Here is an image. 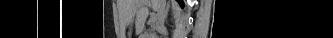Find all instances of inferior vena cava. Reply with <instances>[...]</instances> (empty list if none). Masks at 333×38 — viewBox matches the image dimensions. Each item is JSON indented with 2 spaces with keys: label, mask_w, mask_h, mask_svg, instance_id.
I'll list each match as a JSON object with an SVG mask.
<instances>
[{
  "label": "inferior vena cava",
  "mask_w": 333,
  "mask_h": 38,
  "mask_svg": "<svg viewBox=\"0 0 333 38\" xmlns=\"http://www.w3.org/2000/svg\"><path fill=\"white\" fill-rule=\"evenodd\" d=\"M165 3L166 0H159L158 3V20L161 26L163 25L165 19Z\"/></svg>",
  "instance_id": "1"
}]
</instances>
